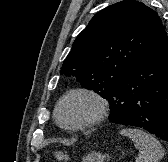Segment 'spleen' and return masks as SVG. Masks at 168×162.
<instances>
[{"label":"spleen","mask_w":168,"mask_h":162,"mask_svg":"<svg viewBox=\"0 0 168 162\" xmlns=\"http://www.w3.org/2000/svg\"><path fill=\"white\" fill-rule=\"evenodd\" d=\"M120 134L129 137L140 150L136 162H159L164 156V149L152 135L140 129H122Z\"/></svg>","instance_id":"3e777b00"}]
</instances>
